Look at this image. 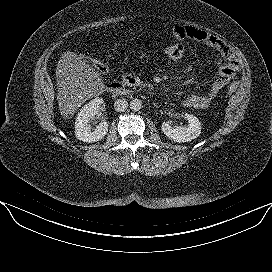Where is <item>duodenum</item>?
<instances>
[{"label":"duodenum","instance_id":"410a0bca","mask_svg":"<svg viewBox=\"0 0 272 272\" xmlns=\"http://www.w3.org/2000/svg\"><path fill=\"white\" fill-rule=\"evenodd\" d=\"M141 84L135 76L124 75L121 80L114 81L108 85V91L116 95H126L132 88H140Z\"/></svg>","mask_w":272,"mask_h":272}]
</instances>
